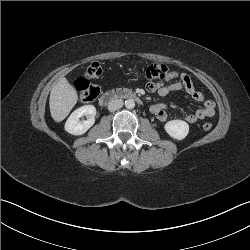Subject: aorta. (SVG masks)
I'll list each match as a JSON object with an SVG mask.
<instances>
[{
  "label": "aorta",
  "instance_id": "obj_1",
  "mask_svg": "<svg viewBox=\"0 0 250 250\" xmlns=\"http://www.w3.org/2000/svg\"><path fill=\"white\" fill-rule=\"evenodd\" d=\"M125 106L127 109H133L135 107V102L133 99H127L125 101Z\"/></svg>",
  "mask_w": 250,
  "mask_h": 250
}]
</instances>
